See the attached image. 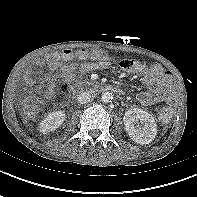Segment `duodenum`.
I'll list each match as a JSON object with an SVG mask.
<instances>
[{"instance_id":"obj_1","label":"duodenum","mask_w":197,"mask_h":197,"mask_svg":"<svg viewBox=\"0 0 197 197\" xmlns=\"http://www.w3.org/2000/svg\"><path fill=\"white\" fill-rule=\"evenodd\" d=\"M83 90H86L88 92L112 91V92H115V93L120 94V95L123 94V90L122 89H120L118 87L110 86V85H104V86H100V85H88L85 88H83V87H75L74 88V92H81Z\"/></svg>"}]
</instances>
